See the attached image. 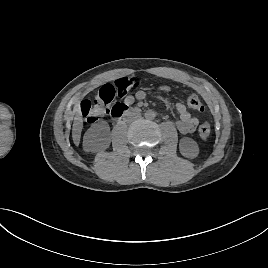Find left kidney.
Wrapping results in <instances>:
<instances>
[{"label": "left kidney", "instance_id": "obj_1", "mask_svg": "<svg viewBox=\"0 0 268 268\" xmlns=\"http://www.w3.org/2000/svg\"><path fill=\"white\" fill-rule=\"evenodd\" d=\"M180 153L186 158H195L199 154L198 144L189 137H183L179 143Z\"/></svg>", "mask_w": 268, "mask_h": 268}]
</instances>
